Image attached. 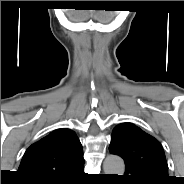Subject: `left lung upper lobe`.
I'll list each match as a JSON object with an SVG mask.
<instances>
[{
	"mask_svg": "<svg viewBox=\"0 0 184 184\" xmlns=\"http://www.w3.org/2000/svg\"><path fill=\"white\" fill-rule=\"evenodd\" d=\"M109 150L125 161L124 178L133 184H167L168 165L160 142L133 123L112 131Z\"/></svg>",
	"mask_w": 184,
	"mask_h": 184,
	"instance_id": "left-lung-upper-lobe-1",
	"label": "left lung upper lobe"
}]
</instances>
